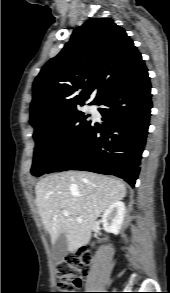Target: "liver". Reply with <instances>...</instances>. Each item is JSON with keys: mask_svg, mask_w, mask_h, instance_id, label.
Here are the masks:
<instances>
[{"mask_svg": "<svg viewBox=\"0 0 170 293\" xmlns=\"http://www.w3.org/2000/svg\"><path fill=\"white\" fill-rule=\"evenodd\" d=\"M36 205L46 231L54 243L64 233L73 253L88 244L96 219L126 195L118 179L84 171L51 174L35 186ZM63 210L69 212L63 215Z\"/></svg>", "mask_w": 170, "mask_h": 293, "instance_id": "6515ba94", "label": "liver"}]
</instances>
